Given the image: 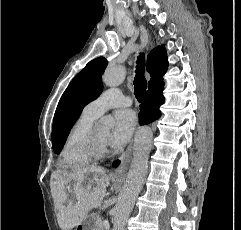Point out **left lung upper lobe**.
<instances>
[{"mask_svg":"<svg viewBox=\"0 0 241 230\" xmlns=\"http://www.w3.org/2000/svg\"><path fill=\"white\" fill-rule=\"evenodd\" d=\"M106 67L107 60L104 57L92 60L75 76L63 93L52 127V147L55 153H60L83 108L101 94V76Z\"/></svg>","mask_w":241,"mask_h":230,"instance_id":"5c2ea615","label":"left lung upper lobe"}]
</instances>
